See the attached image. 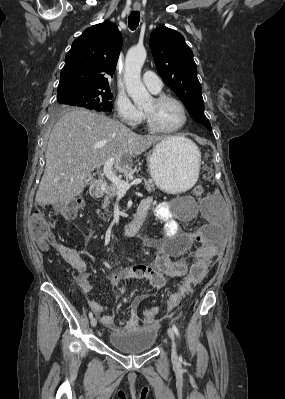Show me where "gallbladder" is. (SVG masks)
I'll return each instance as SVG.
<instances>
[{"mask_svg":"<svg viewBox=\"0 0 285 399\" xmlns=\"http://www.w3.org/2000/svg\"><path fill=\"white\" fill-rule=\"evenodd\" d=\"M92 180H93V178L90 176V177H89V181H92Z\"/></svg>","mask_w":285,"mask_h":399,"instance_id":"1","label":"gallbladder"}]
</instances>
